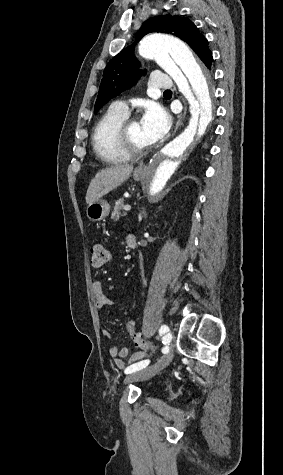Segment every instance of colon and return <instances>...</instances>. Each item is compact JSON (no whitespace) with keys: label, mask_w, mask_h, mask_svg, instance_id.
I'll return each instance as SVG.
<instances>
[{"label":"colon","mask_w":283,"mask_h":475,"mask_svg":"<svg viewBox=\"0 0 283 475\" xmlns=\"http://www.w3.org/2000/svg\"><path fill=\"white\" fill-rule=\"evenodd\" d=\"M108 260H109L108 250L105 248V246L102 243L95 242L92 245V248H91L92 267L93 268H100L104 264H106L108 262ZM126 326H127L129 336H130L134 346L141 349L142 352H145L148 345H147L146 340L137 331L135 322L132 319L127 318ZM139 349L134 350V352H133L134 356L132 357L133 361H140L141 360L142 352Z\"/></svg>","instance_id":"1"}]
</instances>
